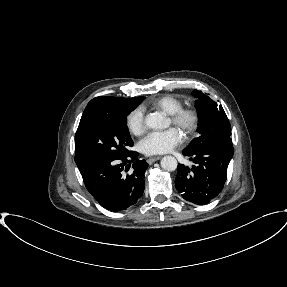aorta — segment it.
Instances as JSON below:
<instances>
[{
  "instance_id": "obj_1",
  "label": "aorta",
  "mask_w": 287,
  "mask_h": 287,
  "mask_svg": "<svg viewBox=\"0 0 287 287\" xmlns=\"http://www.w3.org/2000/svg\"><path fill=\"white\" fill-rule=\"evenodd\" d=\"M146 126L158 130L164 128V119L158 113H153L146 119ZM161 167L166 171H174L177 168V160L173 156H164L161 159Z\"/></svg>"
}]
</instances>
